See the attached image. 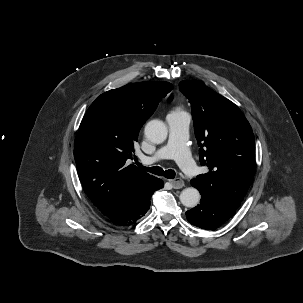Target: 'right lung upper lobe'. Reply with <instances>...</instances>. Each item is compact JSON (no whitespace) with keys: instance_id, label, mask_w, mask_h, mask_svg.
<instances>
[{"instance_id":"cb5924a9","label":"right lung upper lobe","mask_w":303,"mask_h":303,"mask_svg":"<svg viewBox=\"0 0 303 303\" xmlns=\"http://www.w3.org/2000/svg\"><path fill=\"white\" fill-rule=\"evenodd\" d=\"M172 88L162 81L128 84L101 94L84 115L74 157L84 192L104 215L155 178L125 163L142 125Z\"/></svg>"}]
</instances>
